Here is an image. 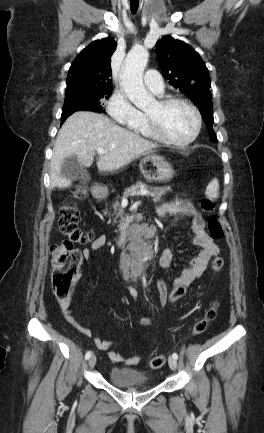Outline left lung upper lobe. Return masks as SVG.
Instances as JSON below:
<instances>
[{"instance_id":"obj_1","label":"left lung upper lobe","mask_w":264,"mask_h":433,"mask_svg":"<svg viewBox=\"0 0 264 433\" xmlns=\"http://www.w3.org/2000/svg\"><path fill=\"white\" fill-rule=\"evenodd\" d=\"M156 51L165 78L198 107L210 139L216 142L209 71L200 55L185 42L172 37L157 41Z\"/></svg>"}]
</instances>
